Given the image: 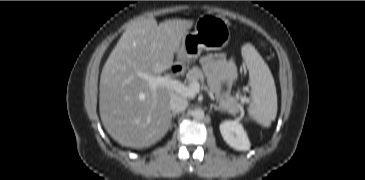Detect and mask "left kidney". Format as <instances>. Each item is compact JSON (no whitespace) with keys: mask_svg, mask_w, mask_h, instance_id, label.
Masks as SVG:
<instances>
[{"mask_svg":"<svg viewBox=\"0 0 365 180\" xmlns=\"http://www.w3.org/2000/svg\"><path fill=\"white\" fill-rule=\"evenodd\" d=\"M220 132L226 143L234 149L246 151L250 148L248 136L238 122L231 120L222 122Z\"/></svg>","mask_w":365,"mask_h":180,"instance_id":"1","label":"left kidney"}]
</instances>
